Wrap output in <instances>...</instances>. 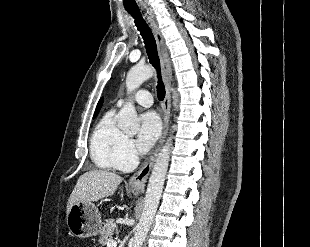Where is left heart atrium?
Masks as SVG:
<instances>
[{"label":"left heart atrium","mask_w":310,"mask_h":247,"mask_svg":"<svg viewBox=\"0 0 310 247\" xmlns=\"http://www.w3.org/2000/svg\"><path fill=\"white\" fill-rule=\"evenodd\" d=\"M161 123L158 115L149 111L140 117V128L137 136V147L140 152L149 151L160 136Z\"/></svg>","instance_id":"39dd6f15"}]
</instances>
